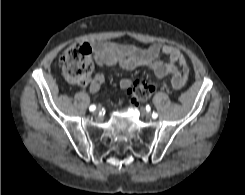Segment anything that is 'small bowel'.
Segmentation results:
<instances>
[{
	"label": "small bowel",
	"mask_w": 245,
	"mask_h": 195,
	"mask_svg": "<svg viewBox=\"0 0 245 195\" xmlns=\"http://www.w3.org/2000/svg\"><path fill=\"white\" fill-rule=\"evenodd\" d=\"M90 53L99 66H119L125 70H134L147 66L153 69L157 79L170 76V85L179 90L186 84L189 76V67L184 55L179 49L170 45L154 43L142 49L132 44H119L114 42H96L88 45ZM167 57V60L161 58ZM105 78L102 74L94 75L85 85L91 92H97ZM120 87L130 89L132 81L121 79Z\"/></svg>",
	"instance_id": "1"
}]
</instances>
